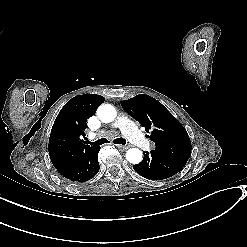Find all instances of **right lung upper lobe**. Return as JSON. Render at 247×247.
Instances as JSON below:
<instances>
[{"mask_svg":"<svg viewBox=\"0 0 247 247\" xmlns=\"http://www.w3.org/2000/svg\"><path fill=\"white\" fill-rule=\"evenodd\" d=\"M105 98L95 94L78 95L70 99L60 110L49 138V155L52 164L60 173L94 146L85 145L80 138L85 136L87 119Z\"/></svg>","mask_w":247,"mask_h":247,"instance_id":"obj_1","label":"right lung upper lobe"}]
</instances>
